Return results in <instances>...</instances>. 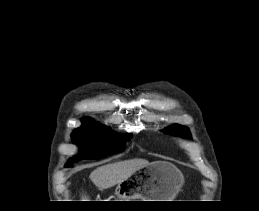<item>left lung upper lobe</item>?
Instances as JSON below:
<instances>
[{
  "label": "left lung upper lobe",
  "mask_w": 259,
  "mask_h": 211,
  "mask_svg": "<svg viewBox=\"0 0 259 211\" xmlns=\"http://www.w3.org/2000/svg\"><path fill=\"white\" fill-rule=\"evenodd\" d=\"M165 133H170L171 135L181 136L184 138H191V133L189 129L185 126L175 124L164 130Z\"/></svg>",
  "instance_id": "left-lung-upper-lobe-1"
}]
</instances>
